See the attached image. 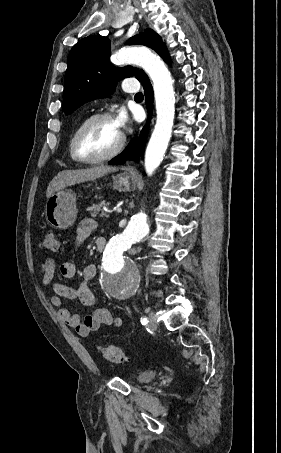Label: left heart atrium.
Here are the masks:
<instances>
[{
	"mask_svg": "<svg viewBox=\"0 0 281 453\" xmlns=\"http://www.w3.org/2000/svg\"><path fill=\"white\" fill-rule=\"evenodd\" d=\"M113 121L116 126L122 131L129 124L130 118L127 111L121 107L117 110Z\"/></svg>",
	"mask_w": 281,
	"mask_h": 453,
	"instance_id": "1",
	"label": "left heart atrium"
}]
</instances>
